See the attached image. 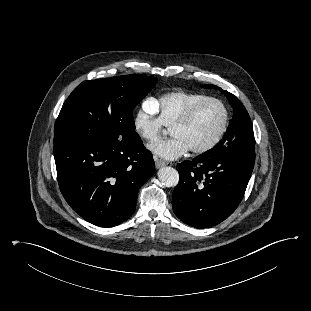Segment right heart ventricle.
Masks as SVG:
<instances>
[{
	"label": "right heart ventricle",
	"mask_w": 311,
	"mask_h": 311,
	"mask_svg": "<svg viewBox=\"0 0 311 311\" xmlns=\"http://www.w3.org/2000/svg\"><path fill=\"white\" fill-rule=\"evenodd\" d=\"M208 96L200 93L177 91L165 94L155 99L156 109L165 126H171L192 105Z\"/></svg>",
	"instance_id": "e07e8e85"
}]
</instances>
